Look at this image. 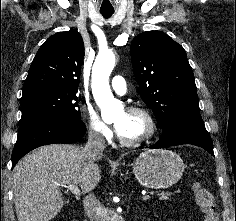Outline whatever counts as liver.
<instances>
[{"instance_id": "liver-1", "label": "liver", "mask_w": 236, "mask_h": 221, "mask_svg": "<svg viewBox=\"0 0 236 221\" xmlns=\"http://www.w3.org/2000/svg\"><path fill=\"white\" fill-rule=\"evenodd\" d=\"M96 161L88 162L82 148L64 144L43 146L23 157L12 181L18 221L52 220L64 204L61 185H79L83 193L93 190L101 178Z\"/></svg>"}]
</instances>
